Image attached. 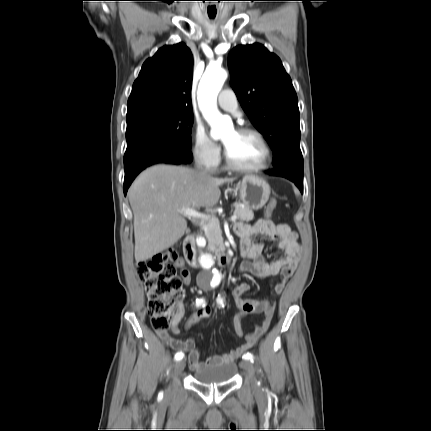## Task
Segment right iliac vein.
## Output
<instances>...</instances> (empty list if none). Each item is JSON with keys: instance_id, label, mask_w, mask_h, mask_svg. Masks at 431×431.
<instances>
[{"instance_id": "1", "label": "right iliac vein", "mask_w": 431, "mask_h": 431, "mask_svg": "<svg viewBox=\"0 0 431 431\" xmlns=\"http://www.w3.org/2000/svg\"><path fill=\"white\" fill-rule=\"evenodd\" d=\"M184 368H185V362L183 360L178 361L174 367V374L178 375L184 370Z\"/></svg>"}]
</instances>
